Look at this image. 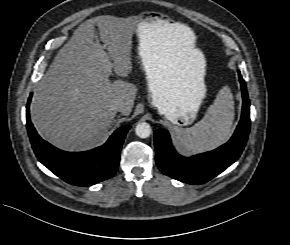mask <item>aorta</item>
<instances>
[{
  "instance_id": "762f6f07",
  "label": "aorta",
  "mask_w": 290,
  "mask_h": 245,
  "mask_svg": "<svg viewBox=\"0 0 290 245\" xmlns=\"http://www.w3.org/2000/svg\"><path fill=\"white\" fill-rule=\"evenodd\" d=\"M135 132L140 138H148L151 135V126L146 122H140L135 128Z\"/></svg>"
}]
</instances>
